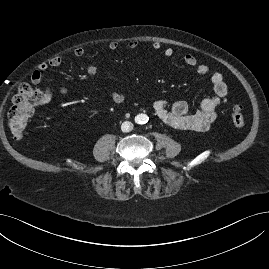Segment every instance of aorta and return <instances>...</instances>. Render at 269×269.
<instances>
[{
	"mask_svg": "<svg viewBox=\"0 0 269 269\" xmlns=\"http://www.w3.org/2000/svg\"><path fill=\"white\" fill-rule=\"evenodd\" d=\"M137 120L142 122L144 120V115L141 114V115L137 116Z\"/></svg>",
	"mask_w": 269,
	"mask_h": 269,
	"instance_id": "aorta-1",
	"label": "aorta"
}]
</instances>
